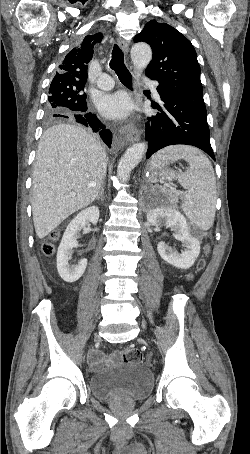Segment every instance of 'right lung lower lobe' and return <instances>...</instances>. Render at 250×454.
<instances>
[{"mask_svg": "<svg viewBox=\"0 0 250 454\" xmlns=\"http://www.w3.org/2000/svg\"><path fill=\"white\" fill-rule=\"evenodd\" d=\"M87 107H85L82 111L74 112L71 115H63L64 118H75L78 123H81L85 126H90L94 132H98L103 139V141L111 147L112 143V133L109 129H106L103 124L99 121L95 114L86 113ZM100 128V129H99Z\"/></svg>", "mask_w": 250, "mask_h": 454, "instance_id": "obj_1", "label": "right lung lower lobe"}]
</instances>
